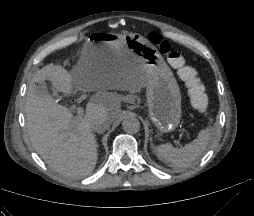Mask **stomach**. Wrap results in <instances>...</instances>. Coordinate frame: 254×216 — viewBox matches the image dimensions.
Wrapping results in <instances>:
<instances>
[{"label":"stomach","mask_w":254,"mask_h":216,"mask_svg":"<svg viewBox=\"0 0 254 216\" xmlns=\"http://www.w3.org/2000/svg\"><path fill=\"white\" fill-rule=\"evenodd\" d=\"M94 69L115 63L120 57L136 61L146 74L148 116L159 133L173 131L181 122V92L162 55L139 34L116 37L100 33L91 36L85 53Z\"/></svg>","instance_id":"obj_1"}]
</instances>
